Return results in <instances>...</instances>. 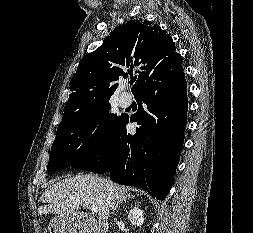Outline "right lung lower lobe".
Here are the masks:
<instances>
[{
    "label": "right lung lower lobe",
    "mask_w": 253,
    "mask_h": 233,
    "mask_svg": "<svg viewBox=\"0 0 253 233\" xmlns=\"http://www.w3.org/2000/svg\"><path fill=\"white\" fill-rule=\"evenodd\" d=\"M186 86L182 66L150 81L135 95L138 112L130 118L123 116L107 145L73 167L107 172L116 183L138 186L164 199L172 186L184 141ZM129 121L138 124L134 135L126 130Z\"/></svg>",
    "instance_id": "right-lung-lower-lobe-1"
}]
</instances>
